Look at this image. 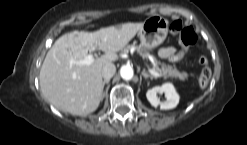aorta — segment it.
I'll return each instance as SVG.
<instances>
[{
  "label": "aorta",
  "mask_w": 247,
  "mask_h": 145,
  "mask_svg": "<svg viewBox=\"0 0 247 145\" xmlns=\"http://www.w3.org/2000/svg\"><path fill=\"white\" fill-rule=\"evenodd\" d=\"M120 75L124 80H131L134 75L133 68L128 65L122 66L120 69Z\"/></svg>",
  "instance_id": "1"
}]
</instances>
